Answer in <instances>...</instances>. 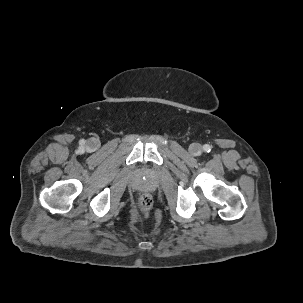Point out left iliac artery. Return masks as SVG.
<instances>
[{
    "label": "left iliac artery",
    "instance_id": "left-iliac-artery-1",
    "mask_svg": "<svg viewBox=\"0 0 303 303\" xmlns=\"http://www.w3.org/2000/svg\"><path fill=\"white\" fill-rule=\"evenodd\" d=\"M203 150H204L205 152H210V151H211V146L208 145V144H205V145L203 146Z\"/></svg>",
    "mask_w": 303,
    "mask_h": 303
}]
</instances>
